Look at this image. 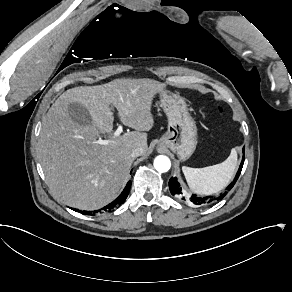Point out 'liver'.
<instances>
[{
	"label": "liver",
	"mask_w": 292,
	"mask_h": 292,
	"mask_svg": "<svg viewBox=\"0 0 292 292\" xmlns=\"http://www.w3.org/2000/svg\"><path fill=\"white\" fill-rule=\"evenodd\" d=\"M165 84L151 79H115L97 86L75 87L64 92L42 120L38 141L40 164L51 194L65 205L97 210L113 201L124 183L133 149L147 154V133L153 126L152 99ZM71 102L84 105L90 124L71 120ZM118 110L120 121L136 131L114 138L111 134ZM100 133L112 141L100 145Z\"/></svg>",
	"instance_id": "liver-1"
}]
</instances>
